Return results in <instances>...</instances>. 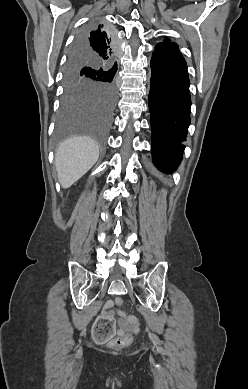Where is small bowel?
Returning a JSON list of instances; mask_svg holds the SVG:
<instances>
[{
	"label": "small bowel",
	"instance_id": "1",
	"mask_svg": "<svg viewBox=\"0 0 248 389\" xmlns=\"http://www.w3.org/2000/svg\"><path fill=\"white\" fill-rule=\"evenodd\" d=\"M113 306V301L108 300L105 303V308L102 311L103 316L105 317H112V312L110 309ZM121 326L124 327L126 330L131 331V332H136L137 331V323L136 320L133 317H128L126 320H124L121 323ZM119 333H122V330H119Z\"/></svg>",
	"mask_w": 248,
	"mask_h": 389
}]
</instances>
